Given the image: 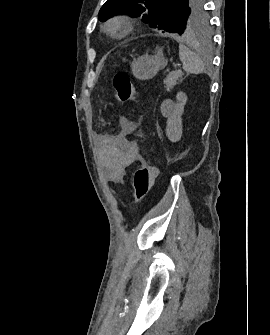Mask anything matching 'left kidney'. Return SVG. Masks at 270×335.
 I'll return each mask as SVG.
<instances>
[{
  "label": "left kidney",
  "instance_id": "1",
  "mask_svg": "<svg viewBox=\"0 0 270 335\" xmlns=\"http://www.w3.org/2000/svg\"><path fill=\"white\" fill-rule=\"evenodd\" d=\"M178 104H175L173 114L169 116L166 124V136L170 142H179L182 136V114L184 112V106L187 102V96L184 92H178L177 96Z\"/></svg>",
  "mask_w": 270,
  "mask_h": 335
}]
</instances>
